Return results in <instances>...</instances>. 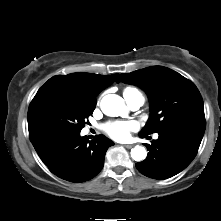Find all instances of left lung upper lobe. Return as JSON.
<instances>
[{
	"mask_svg": "<svg viewBox=\"0 0 221 221\" xmlns=\"http://www.w3.org/2000/svg\"><path fill=\"white\" fill-rule=\"evenodd\" d=\"M119 82L139 86L149 97L151 116L140 135L158 133L177 123L205 122L203 100L197 87L169 68L152 66L122 73Z\"/></svg>",
	"mask_w": 221,
	"mask_h": 221,
	"instance_id": "left-lung-upper-lobe-1",
	"label": "left lung upper lobe"
}]
</instances>
